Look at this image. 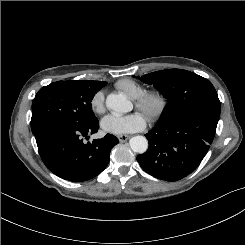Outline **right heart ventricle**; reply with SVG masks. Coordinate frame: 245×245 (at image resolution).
Here are the masks:
<instances>
[{
	"instance_id": "right-heart-ventricle-1",
	"label": "right heart ventricle",
	"mask_w": 245,
	"mask_h": 245,
	"mask_svg": "<svg viewBox=\"0 0 245 245\" xmlns=\"http://www.w3.org/2000/svg\"><path fill=\"white\" fill-rule=\"evenodd\" d=\"M115 87L130 98H136L145 91L141 84L129 78L118 80Z\"/></svg>"
}]
</instances>
